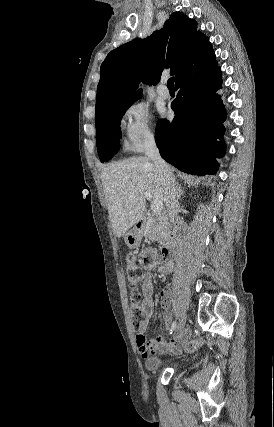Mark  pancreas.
Returning a JSON list of instances; mask_svg holds the SVG:
<instances>
[{
    "instance_id": "cf45deb5",
    "label": "pancreas",
    "mask_w": 274,
    "mask_h": 427,
    "mask_svg": "<svg viewBox=\"0 0 274 427\" xmlns=\"http://www.w3.org/2000/svg\"><path fill=\"white\" fill-rule=\"evenodd\" d=\"M166 217V214H150L145 217L142 231L146 233L148 239H154V241L168 239Z\"/></svg>"
}]
</instances>
